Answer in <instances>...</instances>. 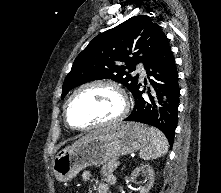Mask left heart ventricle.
I'll return each instance as SVG.
<instances>
[{"instance_id":"obj_1","label":"left heart ventricle","mask_w":221,"mask_h":193,"mask_svg":"<svg viewBox=\"0 0 221 193\" xmlns=\"http://www.w3.org/2000/svg\"><path fill=\"white\" fill-rule=\"evenodd\" d=\"M121 109L119 95L110 87L95 86L78 93L68 108L69 121L85 127L109 120Z\"/></svg>"}]
</instances>
